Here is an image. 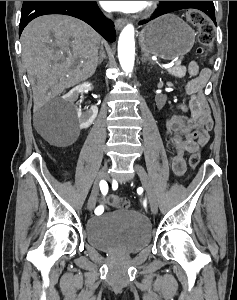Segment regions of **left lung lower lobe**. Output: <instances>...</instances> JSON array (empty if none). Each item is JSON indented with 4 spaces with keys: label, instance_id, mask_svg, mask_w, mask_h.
<instances>
[{
    "label": "left lung lower lobe",
    "instance_id": "1",
    "mask_svg": "<svg viewBox=\"0 0 237 300\" xmlns=\"http://www.w3.org/2000/svg\"><path fill=\"white\" fill-rule=\"evenodd\" d=\"M165 7L167 9L161 15L173 11L181 10V9H188V8L201 10L204 13H206L216 25L213 1H170L165 5ZM140 24H144V23L140 22Z\"/></svg>",
    "mask_w": 237,
    "mask_h": 300
}]
</instances>
